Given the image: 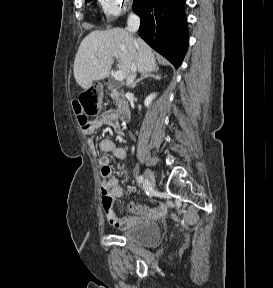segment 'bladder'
<instances>
[{"label":"bladder","mask_w":273,"mask_h":288,"mask_svg":"<svg viewBox=\"0 0 273 288\" xmlns=\"http://www.w3.org/2000/svg\"><path fill=\"white\" fill-rule=\"evenodd\" d=\"M120 236L135 246L151 248L160 242L162 234L158 224L144 223L130 227Z\"/></svg>","instance_id":"bladder-1"}]
</instances>
